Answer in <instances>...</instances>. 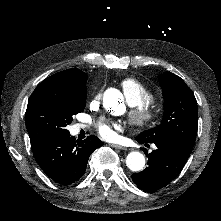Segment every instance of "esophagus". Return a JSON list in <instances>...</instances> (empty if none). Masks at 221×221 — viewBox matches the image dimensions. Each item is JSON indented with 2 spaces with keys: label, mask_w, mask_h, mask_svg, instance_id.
I'll return each instance as SVG.
<instances>
[{
  "label": "esophagus",
  "mask_w": 221,
  "mask_h": 221,
  "mask_svg": "<svg viewBox=\"0 0 221 221\" xmlns=\"http://www.w3.org/2000/svg\"><path fill=\"white\" fill-rule=\"evenodd\" d=\"M110 147H113V148H117V149H126L124 146L122 145H119V144H109Z\"/></svg>",
  "instance_id": "1"
}]
</instances>
